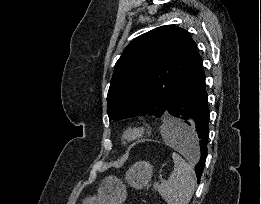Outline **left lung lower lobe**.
<instances>
[{
    "label": "left lung lower lobe",
    "mask_w": 261,
    "mask_h": 204,
    "mask_svg": "<svg viewBox=\"0 0 261 204\" xmlns=\"http://www.w3.org/2000/svg\"><path fill=\"white\" fill-rule=\"evenodd\" d=\"M165 114L180 118L187 124L176 130L177 140L186 151L195 154L194 144L197 142L199 155L195 156L198 159L195 172L199 183L207 157L209 108L205 73L197 50L174 90Z\"/></svg>",
    "instance_id": "0a47b994"
}]
</instances>
